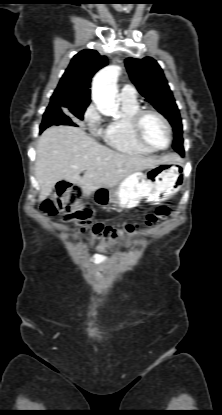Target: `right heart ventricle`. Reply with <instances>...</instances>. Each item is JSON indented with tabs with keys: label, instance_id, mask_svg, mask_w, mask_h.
<instances>
[{
	"label": "right heart ventricle",
	"instance_id": "e07e8e85",
	"mask_svg": "<svg viewBox=\"0 0 222 415\" xmlns=\"http://www.w3.org/2000/svg\"><path fill=\"white\" fill-rule=\"evenodd\" d=\"M122 116L112 120L102 132V138L110 147L125 153L149 155L154 151L142 145L135 137L131 120L140 109L136 99L124 100L120 98Z\"/></svg>",
	"mask_w": 222,
	"mask_h": 415
}]
</instances>
